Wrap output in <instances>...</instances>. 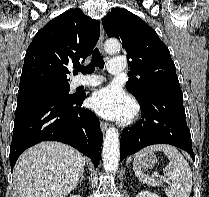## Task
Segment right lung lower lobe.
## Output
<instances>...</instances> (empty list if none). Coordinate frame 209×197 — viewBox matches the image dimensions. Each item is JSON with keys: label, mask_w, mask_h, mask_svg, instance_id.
<instances>
[{"label": "right lung lower lobe", "mask_w": 209, "mask_h": 197, "mask_svg": "<svg viewBox=\"0 0 209 197\" xmlns=\"http://www.w3.org/2000/svg\"><path fill=\"white\" fill-rule=\"evenodd\" d=\"M85 97V93H77L17 105L9 155L11 170L25 149L42 141L71 145L97 167L103 134L96 115L82 107Z\"/></svg>", "instance_id": "1"}]
</instances>
